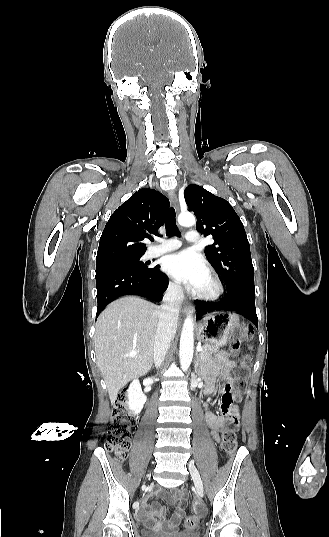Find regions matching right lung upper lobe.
<instances>
[{
    "mask_svg": "<svg viewBox=\"0 0 329 537\" xmlns=\"http://www.w3.org/2000/svg\"><path fill=\"white\" fill-rule=\"evenodd\" d=\"M168 206L169 200L156 190L135 192L107 222L100 238L96 265L141 257L147 249L142 241L159 235Z\"/></svg>",
    "mask_w": 329,
    "mask_h": 537,
    "instance_id": "right-lung-upper-lobe-1",
    "label": "right lung upper lobe"
}]
</instances>
